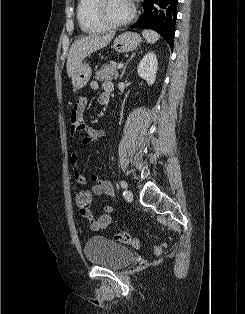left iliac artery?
I'll use <instances>...</instances> for the list:
<instances>
[{"instance_id":"left-iliac-artery-1","label":"left iliac artery","mask_w":245,"mask_h":314,"mask_svg":"<svg viewBox=\"0 0 245 314\" xmlns=\"http://www.w3.org/2000/svg\"><path fill=\"white\" fill-rule=\"evenodd\" d=\"M120 185H121V187H122L123 189H126V188L128 187L127 182L124 181V180L120 181Z\"/></svg>"}]
</instances>
